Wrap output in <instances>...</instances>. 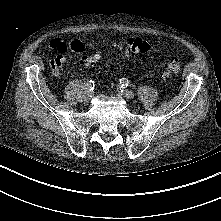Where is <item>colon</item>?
Segmentation results:
<instances>
[{
    "label": "colon",
    "instance_id": "1",
    "mask_svg": "<svg viewBox=\"0 0 221 221\" xmlns=\"http://www.w3.org/2000/svg\"><path fill=\"white\" fill-rule=\"evenodd\" d=\"M125 49L130 54H144L150 50V44L139 37H133L127 41ZM99 59L100 55L98 53H95L93 55L84 54L81 58L80 63L84 67L90 68L93 67ZM179 70L180 59L172 58L166 64L163 71V76L166 78H170L178 73Z\"/></svg>",
    "mask_w": 221,
    "mask_h": 221
}]
</instances>
